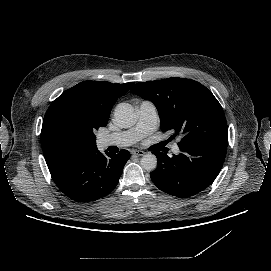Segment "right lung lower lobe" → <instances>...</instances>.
<instances>
[{
  "instance_id": "right-lung-lower-lobe-1",
  "label": "right lung lower lobe",
  "mask_w": 271,
  "mask_h": 271,
  "mask_svg": "<svg viewBox=\"0 0 271 271\" xmlns=\"http://www.w3.org/2000/svg\"><path fill=\"white\" fill-rule=\"evenodd\" d=\"M97 147L59 153L47 162L57 187L77 202H90L108 195L117 185L123 167L130 158L126 150L118 154Z\"/></svg>"
}]
</instances>
